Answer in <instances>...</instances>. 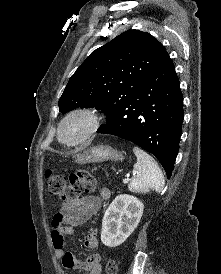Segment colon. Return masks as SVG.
Wrapping results in <instances>:
<instances>
[{"label": "colon", "mask_w": 221, "mask_h": 274, "mask_svg": "<svg viewBox=\"0 0 221 274\" xmlns=\"http://www.w3.org/2000/svg\"><path fill=\"white\" fill-rule=\"evenodd\" d=\"M46 179L50 194L58 196L65 203L76 200L82 192H92L96 186L94 177L84 172L73 173L66 177L49 171ZM116 272V263L113 260L108 261L105 274H116Z\"/></svg>", "instance_id": "obj_1"}]
</instances>
